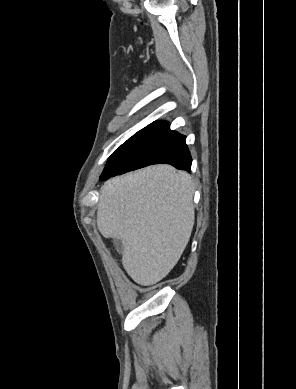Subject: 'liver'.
I'll return each instance as SVG.
<instances>
[{
  "mask_svg": "<svg viewBox=\"0 0 296 389\" xmlns=\"http://www.w3.org/2000/svg\"><path fill=\"white\" fill-rule=\"evenodd\" d=\"M192 177L154 165L107 181L101 188L97 226L123 243L122 263L138 284L161 281L180 259L194 226Z\"/></svg>",
  "mask_w": 296,
  "mask_h": 389,
  "instance_id": "obj_1",
  "label": "liver"
}]
</instances>
